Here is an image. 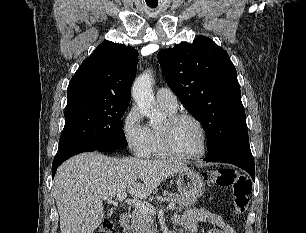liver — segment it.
Returning a JSON list of instances; mask_svg holds the SVG:
<instances>
[{"mask_svg":"<svg viewBox=\"0 0 306 233\" xmlns=\"http://www.w3.org/2000/svg\"><path fill=\"white\" fill-rule=\"evenodd\" d=\"M186 169L171 160L111 158L98 152L70 158L53 181L61 233H93L104 217L103 197L127 191L144 199L163 180Z\"/></svg>","mask_w":306,"mask_h":233,"instance_id":"1","label":"liver"}]
</instances>
